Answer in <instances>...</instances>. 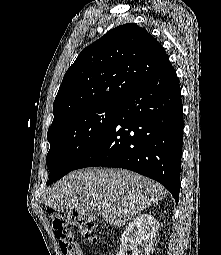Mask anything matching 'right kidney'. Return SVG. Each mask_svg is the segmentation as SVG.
I'll list each match as a JSON object with an SVG mask.
<instances>
[{"label": "right kidney", "instance_id": "ca27d5eb", "mask_svg": "<svg viewBox=\"0 0 221 255\" xmlns=\"http://www.w3.org/2000/svg\"><path fill=\"white\" fill-rule=\"evenodd\" d=\"M158 229L159 222L151 214H140L126 226L116 255H128V251L132 255H149Z\"/></svg>", "mask_w": 221, "mask_h": 255}]
</instances>
